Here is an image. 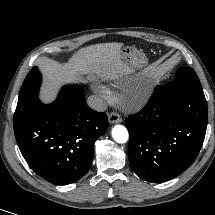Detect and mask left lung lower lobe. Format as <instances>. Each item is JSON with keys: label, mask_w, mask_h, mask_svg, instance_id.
Returning <instances> with one entry per match:
<instances>
[{"label": "left lung lower lobe", "mask_w": 215, "mask_h": 215, "mask_svg": "<svg viewBox=\"0 0 215 215\" xmlns=\"http://www.w3.org/2000/svg\"><path fill=\"white\" fill-rule=\"evenodd\" d=\"M207 120L202 87L178 82L157 86L145 107L125 119L132 170L149 182L181 174L202 147Z\"/></svg>", "instance_id": "1"}]
</instances>
